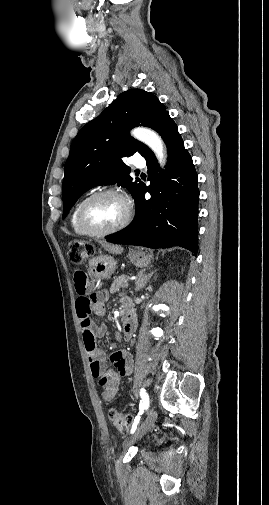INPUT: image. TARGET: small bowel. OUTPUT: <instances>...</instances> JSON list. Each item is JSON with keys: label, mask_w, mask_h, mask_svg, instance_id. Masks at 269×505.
<instances>
[{"label": "small bowel", "mask_w": 269, "mask_h": 505, "mask_svg": "<svg viewBox=\"0 0 269 505\" xmlns=\"http://www.w3.org/2000/svg\"><path fill=\"white\" fill-rule=\"evenodd\" d=\"M74 273V303L75 311L80 322L81 332L90 361L91 372L94 377H99L106 365L105 352L96 346L95 337L103 336L107 330L104 323L95 324L92 315H101L103 312L102 301L88 289L87 273L79 265L73 266ZM114 371L119 377L129 376L133 369V358L126 350L115 351L110 355Z\"/></svg>", "instance_id": "obj_1"}]
</instances>
